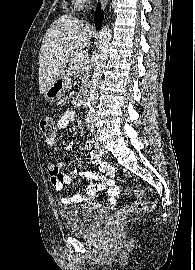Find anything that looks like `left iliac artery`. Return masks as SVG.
I'll return each mask as SVG.
<instances>
[{
	"label": "left iliac artery",
	"instance_id": "1",
	"mask_svg": "<svg viewBox=\"0 0 195 270\" xmlns=\"http://www.w3.org/2000/svg\"><path fill=\"white\" fill-rule=\"evenodd\" d=\"M90 128H91V131L93 132V131H94L93 125H92V126H90Z\"/></svg>",
	"mask_w": 195,
	"mask_h": 270
}]
</instances>
